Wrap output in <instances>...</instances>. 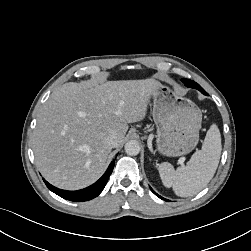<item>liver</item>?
Instances as JSON below:
<instances>
[{
    "instance_id": "1",
    "label": "liver",
    "mask_w": 251,
    "mask_h": 251,
    "mask_svg": "<svg viewBox=\"0 0 251 251\" xmlns=\"http://www.w3.org/2000/svg\"><path fill=\"white\" fill-rule=\"evenodd\" d=\"M155 79L65 83L43 104L33 132L35 163L56 187L78 190L103 173L112 150L123 143L128 123L141 121L159 86Z\"/></svg>"
}]
</instances>
